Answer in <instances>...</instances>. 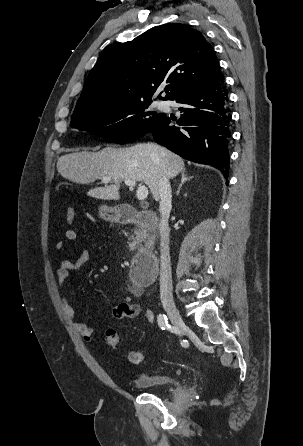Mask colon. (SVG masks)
I'll return each mask as SVG.
<instances>
[{"mask_svg":"<svg viewBox=\"0 0 303 446\" xmlns=\"http://www.w3.org/2000/svg\"><path fill=\"white\" fill-rule=\"evenodd\" d=\"M66 220L68 224H72L74 222V211L72 208H67L66 210ZM105 343L110 348H116L119 342V337L117 332L109 328L104 335ZM128 359L132 364H139L144 359V354L140 350H132L129 352Z\"/></svg>","mask_w":303,"mask_h":446,"instance_id":"5ec220e1","label":"colon"}]
</instances>
